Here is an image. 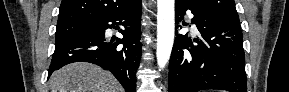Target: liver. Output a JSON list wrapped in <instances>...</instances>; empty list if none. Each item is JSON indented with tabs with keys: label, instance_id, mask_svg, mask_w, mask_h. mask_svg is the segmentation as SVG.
I'll return each mask as SVG.
<instances>
[{
	"label": "liver",
	"instance_id": "obj_1",
	"mask_svg": "<svg viewBox=\"0 0 289 92\" xmlns=\"http://www.w3.org/2000/svg\"><path fill=\"white\" fill-rule=\"evenodd\" d=\"M48 88L50 92H123L110 72L83 62L55 71L49 79Z\"/></svg>",
	"mask_w": 289,
	"mask_h": 92
}]
</instances>
